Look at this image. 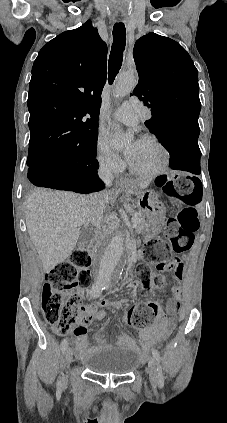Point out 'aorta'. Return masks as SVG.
I'll list each match as a JSON object with an SVG mask.
<instances>
[{
    "mask_svg": "<svg viewBox=\"0 0 227 423\" xmlns=\"http://www.w3.org/2000/svg\"><path fill=\"white\" fill-rule=\"evenodd\" d=\"M137 76L133 72L121 73L114 87V96L124 97L134 89ZM114 140L116 148L124 146L131 139V135L122 133L118 124H113ZM124 236L117 233L108 242L101 243L94 254L93 272L96 284L101 287H110L118 282L125 266Z\"/></svg>",
    "mask_w": 227,
    "mask_h": 423,
    "instance_id": "obj_1",
    "label": "aorta"
}]
</instances>
